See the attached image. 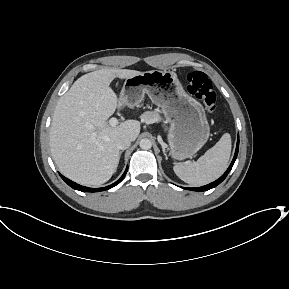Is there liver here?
<instances>
[{"mask_svg":"<svg viewBox=\"0 0 289 289\" xmlns=\"http://www.w3.org/2000/svg\"><path fill=\"white\" fill-rule=\"evenodd\" d=\"M142 72L103 68L78 78L59 99L50 128V148L59 170L83 185H101L116 172L120 137L135 141L140 122L126 120L112 127L108 118L126 106L121 95L109 87L116 78L127 79Z\"/></svg>","mask_w":289,"mask_h":289,"instance_id":"obj_1","label":"liver"}]
</instances>
